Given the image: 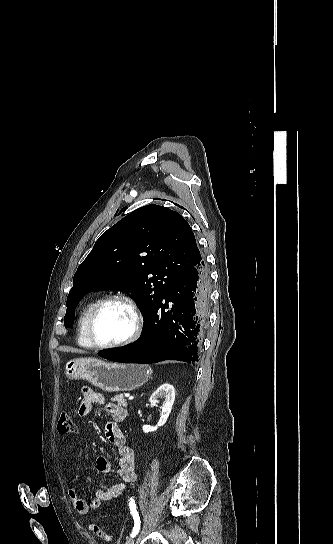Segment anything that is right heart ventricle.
Segmentation results:
<instances>
[{
    "mask_svg": "<svg viewBox=\"0 0 333 544\" xmlns=\"http://www.w3.org/2000/svg\"><path fill=\"white\" fill-rule=\"evenodd\" d=\"M99 299H92L90 300L81 310L78 320H77V343L79 346L83 348H93L91 343L89 342L87 336H86V322L87 318L93 309V307L97 304Z\"/></svg>",
    "mask_w": 333,
    "mask_h": 544,
    "instance_id": "e07e8e85",
    "label": "right heart ventricle"
}]
</instances>
